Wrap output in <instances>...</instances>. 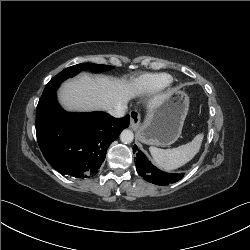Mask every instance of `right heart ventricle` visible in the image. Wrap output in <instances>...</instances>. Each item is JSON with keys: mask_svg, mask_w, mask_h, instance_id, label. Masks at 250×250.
<instances>
[{"mask_svg": "<svg viewBox=\"0 0 250 250\" xmlns=\"http://www.w3.org/2000/svg\"><path fill=\"white\" fill-rule=\"evenodd\" d=\"M172 81L167 73H148L139 76L135 80V87L144 93H153L168 86Z\"/></svg>", "mask_w": 250, "mask_h": 250, "instance_id": "right-heart-ventricle-1", "label": "right heart ventricle"}]
</instances>
